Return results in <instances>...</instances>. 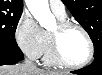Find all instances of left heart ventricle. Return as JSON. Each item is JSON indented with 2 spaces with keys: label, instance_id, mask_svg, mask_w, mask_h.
<instances>
[{
  "label": "left heart ventricle",
  "instance_id": "b2bd125f",
  "mask_svg": "<svg viewBox=\"0 0 102 75\" xmlns=\"http://www.w3.org/2000/svg\"><path fill=\"white\" fill-rule=\"evenodd\" d=\"M56 26L52 29L54 30ZM62 55L69 62H78L88 54V43L84 34L76 29H70L60 38Z\"/></svg>",
  "mask_w": 102,
  "mask_h": 75
}]
</instances>
